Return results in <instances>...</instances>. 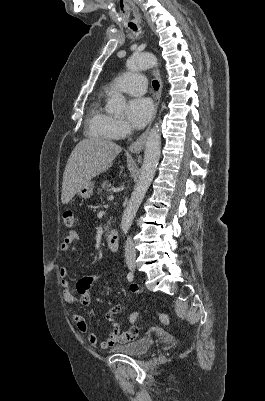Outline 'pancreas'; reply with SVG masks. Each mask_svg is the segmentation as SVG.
Listing matches in <instances>:
<instances>
[{"instance_id":"1","label":"pancreas","mask_w":265,"mask_h":401,"mask_svg":"<svg viewBox=\"0 0 265 401\" xmlns=\"http://www.w3.org/2000/svg\"><path fill=\"white\" fill-rule=\"evenodd\" d=\"M103 190H106V192H112L113 188H112V184L111 182H109V180H103L100 188H97V194H100V192H103ZM109 223V221H108ZM109 229H110V225H106L105 227V235H107V233H109Z\"/></svg>"}]
</instances>
